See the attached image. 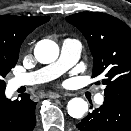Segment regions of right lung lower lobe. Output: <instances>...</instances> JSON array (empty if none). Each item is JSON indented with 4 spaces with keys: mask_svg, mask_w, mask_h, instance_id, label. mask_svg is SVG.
<instances>
[{
    "mask_svg": "<svg viewBox=\"0 0 131 131\" xmlns=\"http://www.w3.org/2000/svg\"><path fill=\"white\" fill-rule=\"evenodd\" d=\"M5 89L0 90V131H32L36 124V102L29 94L11 101L5 97Z\"/></svg>",
    "mask_w": 131,
    "mask_h": 131,
    "instance_id": "1",
    "label": "right lung lower lobe"
}]
</instances>
